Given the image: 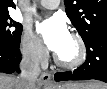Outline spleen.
<instances>
[{"label":"spleen","mask_w":107,"mask_h":89,"mask_svg":"<svg viewBox=\"0 0 107 89\" xmlns=\"http://www.w3.org/2000/svg\"><path fill=\"white\" fill-rule=\"evenodd\" d=\"M102 88H105V89H106V88H107V86H105V87H102Z\"/></svg>","instance_id":"spleen-1"}]
</instances>
